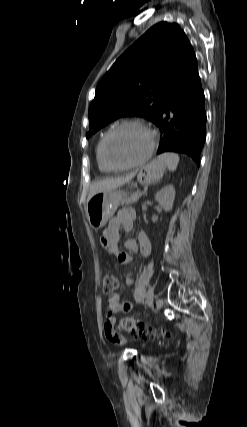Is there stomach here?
<instances>
[{
  "label": "stomach",
  "instance_id": "stomach-1",
  "mask_svg": "<svg viewBox=\"0 0 247 427\" xmlns=\"http://www.w3.org/2000/svg\"><path fill=\"white\" fill-rule=\"evenodd\" d=\"M165 169V164L153 160L139 170L137 180L144 185L157 182L162 178ZM125 196L126 193L118 189L104 190L96 193L87 202L86 206L90 226L94 229L105 226Z\"/></svg>",
  "mask_w": 247,
  "mask_h": 427
}]
</instances>
